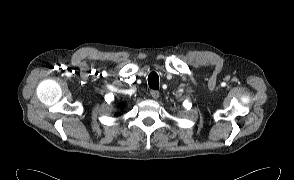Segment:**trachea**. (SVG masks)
Masks as SVG:
<instances>
[{
    "mask_svg": "<svg viewBox=\"0 0 294 180\" xmlns=\"http://www.w3.org/2000/svg\"><path fill=\"white\" fill-rule=\"evenodd\" d=\"M148 84L152 89H158V75L155 72H152L148 76Z\"/></svg>",
    "mask_w": 294,
    "mask_h": 180,
    "instance_id": "trachea-1",
    "label": "trachea"
}]
</instances>
